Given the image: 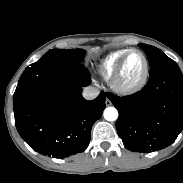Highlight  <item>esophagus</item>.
<instances>
[{"mask_svg": "<svg viewBox=\"0 0 183 183\" xmlns=\"http://www.w3.org/2000/svg\"><path fill=\"white\" fill-rule=\"evenodd\" d=\"M105 104H106V106H110L111 105V101L109 100V98H106Z\"/></svg>", "mask_w": 183, "mask_h": 183, "instance_id": "esophagus-1", "label": "esophagus"}]
</instances>
